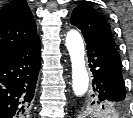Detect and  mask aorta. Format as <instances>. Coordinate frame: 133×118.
Returning <instances> with one entry per match:
<instances>
[{
    "instance_id": "obj_1",
    "label": "aorta",
    "mask_w": 133,
    "mask_h": 118,
    "mask_svg": "<svg viewBox=\"0 0 133 118\" xmlns=\"http://www.w3.org/2000/svg\"><path fill=\"white\" fill-rule=\"evenodd\" d=\"M65 43L72 65V88L74 94L80 97L86 94L89 86L83 39L78 31L70 30L66 35Z\"/></svg>"
}]
</instances>
